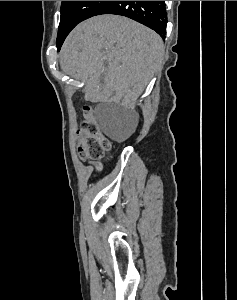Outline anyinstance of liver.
<instances>
[{
  "label": "liver",
  "instance_id": "liver-1",
  "mask_svg": "<svg viewBox=\"0 0 237 300\" xmlns=\"http://www.w3.org/2000/svg\"><path fill=\"white\" fill-rule=\"evenodd\" d=\"M164 57L161 37L127 17L99 15L77 25L60 53L63 71L92 77L89 95L135 105Z\"/></svg>",
  "mask_w": 237,
  "mask_h": 300
}]
</instances>
